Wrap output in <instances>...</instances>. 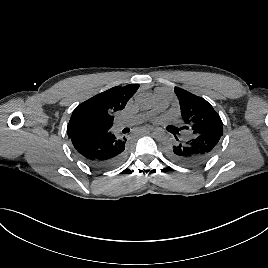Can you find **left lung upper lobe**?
Returning <instances> with one entry per match:
<instances>
[{"instance_id": "1", "label": "left lung upper lobe", "mask_w": 268, "mask_h": 268, "mask_svg": "<svg viewBox=\"0 0 268 268\" xmlns=\"http://www.w3.org/2000/svg\"><path fill=\"white\" fill-rule=\"evenodd\" d=\"M175 93L179 99L182 119L186 124L185 129H190L192 135H223L222 120L209 102L178 87H175Z\"/></svg>"}]
</instances>
